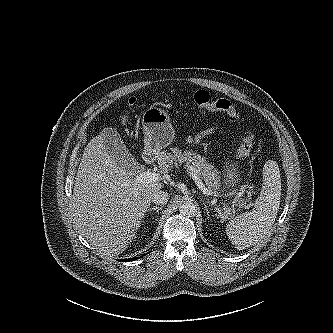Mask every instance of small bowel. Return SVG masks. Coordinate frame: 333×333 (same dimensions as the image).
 <instances>
[{
	"instance_id": "c3829d8e",
	"label": "small bowel",
	"mask_w": 333,
	"mask_h": 333,
	"mask_svg": "<svg viewBox=\"0 0 333 333\" xmlns=\"http://www.w3.org/2000/svg\"><path fill=\"white\" fill-rule=\"evenodd\" d=\"M216 132H217V128H215V127L207 128L203 131H200L199 133H197L195 135L187 136L185 138V141L188 144L196 145V144L201 143L204 139L212 136Z\"/></svg>"
}]
</instances>
